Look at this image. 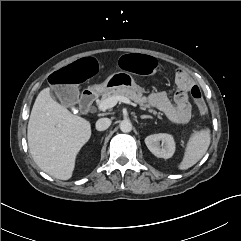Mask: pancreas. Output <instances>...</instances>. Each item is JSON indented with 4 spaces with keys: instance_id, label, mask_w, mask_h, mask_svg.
<instances>
[{
    "instance_id": "obj_1",
    "label": "pancreas",
    "mask_w": 241,
    "mask_h": 241,
    "mask_svg": "<svg viewBox=\"0 0 241 241\" xmlns=\"http://www.w3.org/2000/svg\"><path fill=\"white\" fill-rule=\"evenodd\" d=\"M113 96H124L131 100H133L135 103L140 105V109L146 110L147 108H150V106L147 104V98L143 96L142 92H136L134 90H131L129 88H117L111 91L104 92L102 94L101 99L98 101V104H100L102 101L109 97ZM153 115L157 116L160 120H162L161 113L157 112L154 109L148 110Z\"/></svg>"
}]
</instances>
